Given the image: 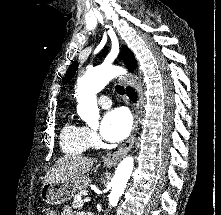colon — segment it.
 <instances>
[{"label": "colon", "mask_w": 221, "mask_h": 215, "mask_svg": "<svg viewBox=\"0 0 221 215\" xmlns=\"http://www.w3.org/2000/svg\"><path fill=\"white\" fill-rule=\"evenodd\" d=\"M42 215H58V214L54 209L47 208L43 211Z\"/></svg>", "instance_id": "1"}]
</instances>
